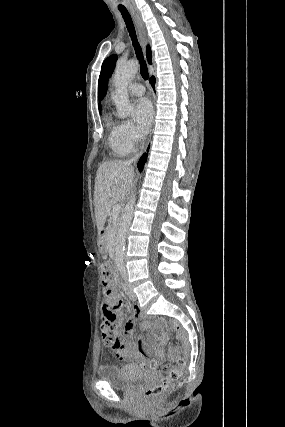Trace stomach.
<instances>
[{
	"label": "stomach",
	"mask_w": 285,
	"mask_h": 427,
	"mask_svg": "<svg viewBox=\"0 0 285 427\" xmlns=\"http://www.w3.org/2000/svg\"><path fill=\"white\" fill-rule=\"evenodd\" d=\"M98 247L101 252H104L106 250V241L104 239H100Z\"/></svg>",
	"instance_id": "stomach-1"
}]
</instances>
